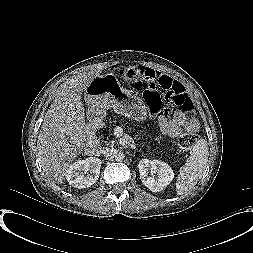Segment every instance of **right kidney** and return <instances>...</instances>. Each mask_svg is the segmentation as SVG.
<instances>
[{
	"label": "right kidney",
	"instance_id": "obj_1",
	"mask_svg": "<svg viewBox=\"0 0 253 253\" xmlns=\"http://www.w3.org/2000/svg\"><path fill=\"white\" fill-rule=\"evenodd\" d=\"M101 163L96 157L74 162L66 171L68 183L79 189L92 186L99 178Z\"/></svg>",
	"mask_w": 253,
	"mask_h": 253
}]
</instances>
